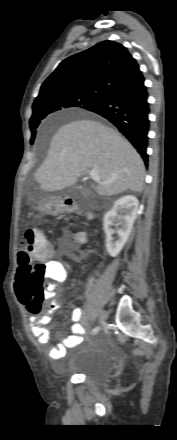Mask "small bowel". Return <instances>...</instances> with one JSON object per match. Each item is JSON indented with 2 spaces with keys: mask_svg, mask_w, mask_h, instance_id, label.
Here are the masks:
<instances>
[{
  "mask_svg": "<svg viewBox=\"0 0 177 440\" xmlns=\"http://www.w3.org/2000/svg\"><path fill=\"white\" fill-rule=\"evenodd\" d=\"M50 256L45 259V263L48 267V279L54 282L64 281L66 278V270L64 265L59 261L50 259ZM56 290L57 287L53 285L50 286V296L52 298L57 297L58 293ZM48 308V312L45 315L39 316L37 314L30 313L28 316L30 332L42 345L47 344L50 340V331L46 325L51 322L52 313L59 308L58 302L55 300L52 301ZM83 315L84 312L82 308L79 307L73 310L71 316L73 321V324L71 325V335L63 339L57 346H54L50 349L49 357L52 360L63 358L68 348L75 347L83 341L85 334V328L81 324Z\"/></svg>",
  "mask_w": 177,
  "mask_h": 440,
  "instance_id": "1",
  "label": "small bowel"
}]
</instances>
